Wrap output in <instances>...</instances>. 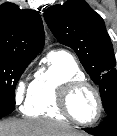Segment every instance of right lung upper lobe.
<instances>
[{"label":"right lung upper lobe","instance_id":"obj_1","mask_svg":"<svg viewBox=\"0 0 117 136\" xmlns=\"http://www.w3.org/2000/svg\"><path fill=\"white\" fill-rule=\"evenodd\" d=\"M44 46L41 16L13 3L0 5V56L33 60Z\"/></svg>","mask_w":117,"mask_h":136}]
</instances>
